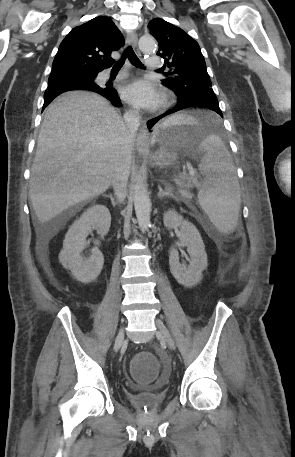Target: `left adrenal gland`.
Listing matches in <instances>:
<instances>
[{"instance_id": "a2214340", "label": "left adrenal gland", "mask_w": 295, "mask_h": 457, "mask_svg": "<svg viewBox=\"0 0 295 457\" xmlns=\"http://www.w3.org/2000/svg\"><path fill=\"white\" fill-rule=\"evenodd\" d=\"M159 188V193L157 194L158 198L162 199L164 197H172L173 195L170 193V190L167 189L166 191H163L161 186H158Z\"/></svg>"}]
</instances>
